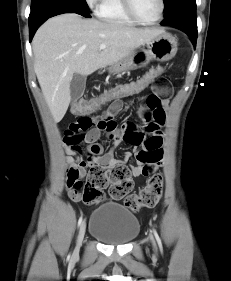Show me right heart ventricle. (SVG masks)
I'll return each mask as SVG.
<instances>
[{
  "label": "right heart ventricle",
  "mask_w": 231,
  "mask_h": 281,
  "mask_svg": "<svg viewBox=\"0 0 231 281\" xmlns=\"http://www.w3.org/2000/svg\"><path fill=\"white\" fill-rule=\"evenodd\" d=\"M97 15L109 23L132 25L135 23L125 12L121 0H102Z\"/></svg>",
  "instance_id": "right-heart-ventricle-1"
}]
</instances>
